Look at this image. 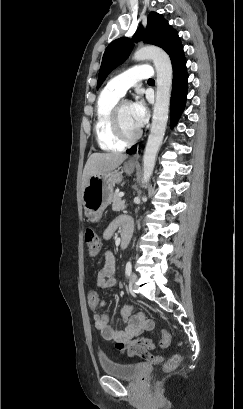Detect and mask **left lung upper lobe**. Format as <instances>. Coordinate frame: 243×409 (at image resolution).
I'll return each mask as SVG.
<instances>
[{"label": "left lung upper lobe", "instance_id": "5c2ea615", "mask_svg": "<svg viewBox=\"0 0 243 409\" xmlns=\"http://www.w3.org/2000/svg\"><path fill=\"white\" fill-rule=\"evenodd\" d=\"M141 39L148 44L161 47L168 53L170 58L182 47L178 33L162 15L156 12L149 14L146 29L144 30L143 26H140L133 36L134 41ZM133 40L122 37L108 45L103 55L97 88L101 86L106 76L129 56Z\"/></svg>", "mask_w": 243, "mask_h": 409}]
</instances>
